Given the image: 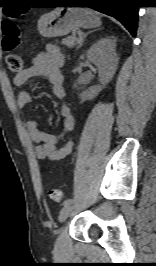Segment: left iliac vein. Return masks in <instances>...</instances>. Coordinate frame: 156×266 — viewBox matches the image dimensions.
<instances>
[{"label": "left iliac vein", "mask_w": 156, "mask_h": 266, "mask_svg": "<svg viewBox=\"0 0 156 266\" xmlns=\"http://www.w3.org/2000/svg\"><path fill=\"white\" fill-rule=\"evenodd\" d=\"M71 211H72V205H66L64 206L61 210H60V213H59V221L60 222H63L65 221L69 215L71 214Z\"/></svg>", "instance_id": "left-iliac-vein-1"}]
</instances>
